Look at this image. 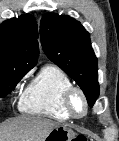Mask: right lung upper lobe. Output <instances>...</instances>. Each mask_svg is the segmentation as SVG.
<instances>
[{
	"instance_id": "1",
	"label": "right lung upper lobe",
	"mask_w": 119,
	"mask_h": 141,
	"mask_svg": "<svg viewBox=\"0 0 119 141\" xmlns=\"http://www.w3.org/2000/svg\"><path fill=\"white\" fill-rule=\"evenodd\" d=\"M38 29L34 17L22 15L0 27V72H28L39 55Z\"/></svg>"
}]
</instances>
